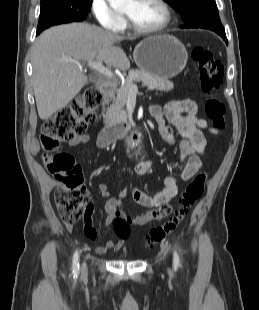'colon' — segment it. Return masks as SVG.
<instances>
[{
    "label": "colon",
    "instance_id": "colon-1",
    "mask_svg": "<svg viewBox=\"0 0 259 310\" xmlns=\"http://www.w3.org/2000/svg\"><path fill=\"white\" fill-rule=\"evenodd\" d=\"M195 68L199 73L201 88L206 94L205 113L215 131L225 127V105L216 97L223 78V67L217 57L208 49L195 46L191 51ZM100 94L94 88H88L79 94L72 103L48 119L41 133V144L46 151L45 163L50 173L63 186L56 191L55 201L61 220L73 225L85 217L92 209L91 195L84 185L83 174L74 157L60 151L63 142L70 141L85 133L89 125L97 120V108ZM208 173L199 172L182 191L179 207L167 221L151 228L146 235V244L152 246L177 229L189 209L199 199L204 190ZM113 230L121 239L130 235L129 223L121 216L112 221Z\"/></svg>",
    "mask_w": 259,
    "mask_h": 310
}]
</instances>
